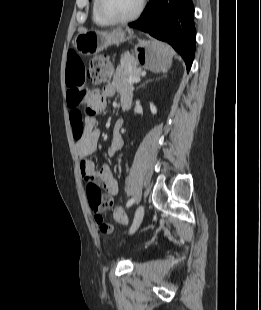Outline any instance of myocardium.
<instances>
[{"mask_svg":"<svg viewBox=\"0 0 261 310\" xmlns=\"http://www.w3.org/2000/svg\"><path fill=\"white\" fill-rule=\"evenodd\" d=\"M145 0H139L138 7L134 13L124 18H115L108 15L103 9V0H96V10L99 16L109 24H126L136 20L143 12Z\"/></svg>","mask_w":261,"mask_h":310,"instance_id":"1","label":"myocardium"}]
</instances>
